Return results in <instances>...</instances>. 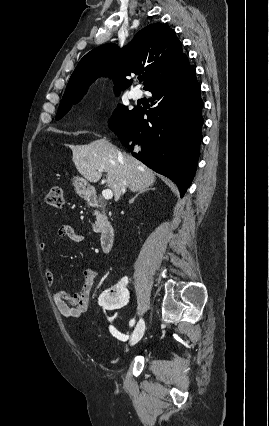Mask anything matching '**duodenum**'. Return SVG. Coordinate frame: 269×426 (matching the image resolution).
<instances>
[{
  "label": "duodenum",
  "instance_id": "duodenum-1",
  "mask_svg": "<svg viewBox=\"0 0 269 426\" xmlns=\"http://www.w3.org/2000/svg\"><path fill=\"white\" fill-rule=\"evenodd\" d=\"M87 201L92 205L99 207L100 198L94 192H89L86 196ZM98 226L101 229L100 244L104 253L110 252L115 240V230L105 222L99 221Z\"/></svg>",
  "mask_w": 269,
  "mask_h": 426
}]
</instances>
